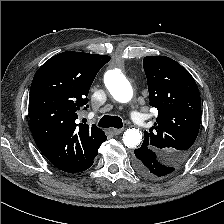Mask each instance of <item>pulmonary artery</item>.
I'll return each mask as SVG.
<instances>
[{"instance_id":"1","label":"pulmonary artery","mask_w":224,"mask_h":224,"mask_svg":"<svg viewBox=\"0 0 224 224\" xmlns=\"http://www.w3.org/2000/svg\"><path fill=\"white\" fill-rule=\"evenodd\" d=\"M130 118L138 125V126H144V120L141 117V114L137 112L136 110H131L130 113Z\"/></svg>"}]
</instances>
